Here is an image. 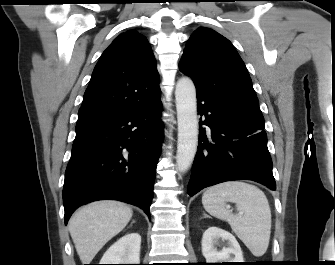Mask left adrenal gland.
Here are the masks:
<instances>
[{"label": "left adrenal gland", "mask_w": 335, "mask_h": 265, "mask_svg": "<svg viewBox=\"0 0 335 265\" xmlns=\"http://www.w3.org/2000/svg\"><path fill=\"white\" fill-rule=\"evenodd\" d=\"M204 216H205V217H208V215H207V214H205V213H204Z\"/></svg>", "instance_id": "obj_1"}]
</instances>
